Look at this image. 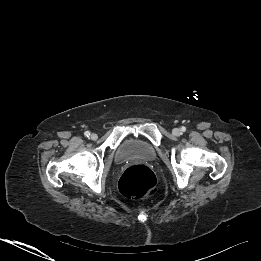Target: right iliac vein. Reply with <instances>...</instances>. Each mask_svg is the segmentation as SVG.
<instances>
[{"label": "right iliac vein", "mask_w": 261, "mask_h": 261, "mask_svg": "<svg viewBox=\"0 0 261 261\" xmlns=\"http://www.w3.org/2000/svg\"><path fill=\"white\" fill-rule=\"evenodd\" d=\"M90 138H91L92 140H96V139L98 138V136H97V134L92 133L91 136H90Z\"/></svg>", "instance_id": "63e3f726"}]
</instances>
